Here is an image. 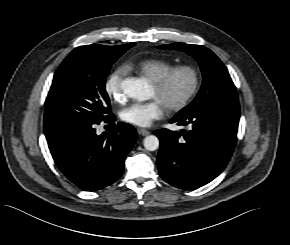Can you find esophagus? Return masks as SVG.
I'll use <instances>...</instances> for the list:
<instances>
[{
    "mask_svg": "<svg viewBox=\"0 0 290 245\" xmlns=\"http://www.w3.org/2000/svg\"><path fill=\"white\" fill-rule=\"evenodd\" d=\"M139 133L142 135V136H147L150 134V131L146 130V129H143V128H140L139 129Z\"/></svg>",
    "mask_w": 290,
    "mask_h": 245,
    "instance_id": "34e87169",
    "label": "esophagus"
}]
</instances>
